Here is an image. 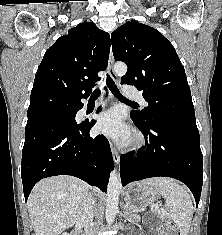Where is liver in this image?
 <instances>
[{"label": "liver", "instance_id": "1", "mask_svg": "<svg viewBox=\"0 0 222 235\" xmlns=\"http://www.w3.org/2000/svg\"><path fill=\"white\" fill-rule=\"evenodd\" d=\"M89 189L88 184L73 176L39 181L28 199L35 235H59L72 227L85 209Z\"/></svg>", "mask_w": 222, "mask_h": 235}]
</instances>
